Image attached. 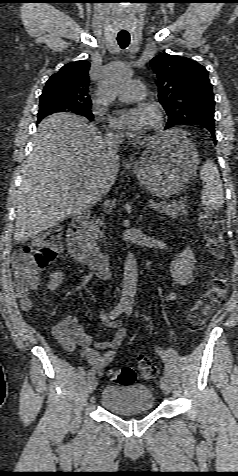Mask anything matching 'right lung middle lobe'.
I'll return each instance as SVG.
<instances>
[{
  "mask_svg": "<svg viewBox=\"0 0 238 476\" xmlns=\"http://www.w3.org/2000/svg\"><path fill=\"white\" fill-rule=\"evenodd\" d=\"M57 112H73L75 114L82 115L89 120L93 119V114L90 111V107H86L83 109H79L76 111H69L61 107L59 104L53 102H40L39 104V112H38V121L42 118Z\"/></svg>",
  "mask_w": 238,
  "mask_h": 476,
  "instance_id": "1",
  "label": "right lung middle lobe"
}]
</instances>
